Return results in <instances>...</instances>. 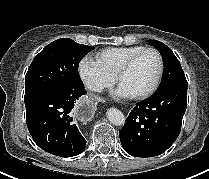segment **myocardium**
Wrapping results in <instances>:
<instances>
[{
  "label": "myocardium",
  "instance_id": "myocardium-1",
  "mask_svg": "<svg viewBox=\"0 0 209 179\" xmlns=\"http://www.w3.org/2000/svg\"><path fill=\"white\" fill-rule=\"evenodd\" d=\"M147 52H151L154 53L157 56L158 59V72H157V76L155 78V80L153 81V83L151 84V86L149 88H147L146 90H144L143 92H140L138 94L135 95H131L130 97L132 99H144L149 97L150 95H152L158 88L161 79L163 77V73H164V59L162 54L160 53L159 50L152 48V47H147V48H143L142 50L136 52L135 54H133L131 57H129L123 64L122 66L118 69V71L116 72L115 76H114V80L116 83H119L120 78L127 72L129 71V69L134 65V63L138 60L139 57H141L143 54L147 53Z\"/></svg>",
  "mask_w": 209,
  "mask_h": 179
}]
</instances>
